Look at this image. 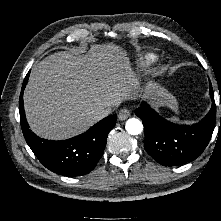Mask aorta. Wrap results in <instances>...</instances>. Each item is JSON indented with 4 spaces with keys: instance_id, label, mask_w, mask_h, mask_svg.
<instances>
[{
    "instance_id": "aorta-1",
    "label": "aorta",
    "mask_w": 221,
    "mask_h": 221,
    "mask_svg": "<svg viewBox=\"0 0 221 221\" xmlns=\"http://www.w3.org/2000/svg\"><path fill=\"white\" fill-rule=\"evenodd\" d=\"M125 129L131 135H138L143 131V124L139 119L131 118L126 122Z\"/></svg>"
}]
</instances>
